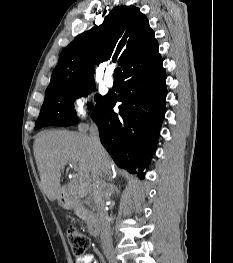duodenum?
Returning <instances> with one entry per match:
<instances>
[{
	"label": "duodenum",
	"mask_w": 233,
	"mask_h": 263,
	"mask_svg": "<svg viewBox=\"0 0 233 263\" xmlns=\"http://www.w3.org/2000/svg\"><path fill=\"white\" fill-rule=\"evenodd\" d=\"M61 201L64 202L65 206L68 208H75L76 206V203L68 196L64 187L62 188ZM89 231L94 238L99 236V224L96 220L92 219L90 221Z\"/></svg>",
	"instance_id": "obj_1"
}]
</instances>
